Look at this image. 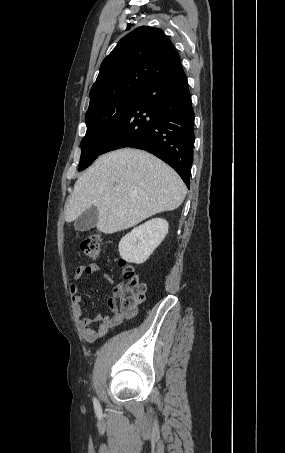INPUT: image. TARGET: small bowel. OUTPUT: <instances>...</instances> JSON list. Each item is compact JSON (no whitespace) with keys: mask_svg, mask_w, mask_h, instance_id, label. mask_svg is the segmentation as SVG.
<instances>
[{"mask_svg":"<svg viewBox=\"0 0 285 453\" xmlns=\"http://www.w3.org/2000/svg\"><path fill=\"white\" fill-rule=\"evenodd\" d=\"M98 271L99 267L96 264L81 265L75 271V279H79L84 275H92ZM102 280L106 284H112V278L106 273L102 275ZM70 292L74 319L83 339L88 343H94L104 337L112 327L119 325L125 318L124 314L118 312L114 299H110L108 303L110 309L114 312L112 316L96 314L92 317H84L79 286L76 283L71 284Z\"/></svg>","mask_w":285,"mask_h":453,"instance_id":"1","label":"small bowel"}]
</instances>
